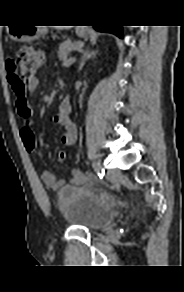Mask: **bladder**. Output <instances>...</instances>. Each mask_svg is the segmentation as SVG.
<instances>
[{
	"label": "bladder",
	"instance_id": "obj_1",
	"mask_svg": "<svg viewBox=\"0 0 184 292\" xmlns=\"http://www.w3.org/2000/svg\"><path fill=\"white\" fill-rule=\"evenodd\" d=\"M57 206L71 225L97 231L115 217L117 201L113 196L97 193L88 186L64 187L57 195Z\"/></svg>",
	"mask_w": 184,
	"mask_h": 292
}]
</instances>
